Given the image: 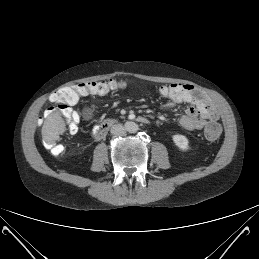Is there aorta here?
Listing matches in <instances>:
<instances>
[{
	"label": "aorta",
	"instance_id": "1",
	"mask_svg": "<svg viewBox=\"0 0 259 259\" xmlns=\"http://www.w3.org/2000/svg\"><path fill=\"white\" fill-rule=\"evenodd\" d=\"M125 129L126 131H128L129 133H136L139 129L138 125L134 122H127L125 124Z\"/></svg>",
	"mask_w": 259,
	"mask_h": 259
}]
</instances>
